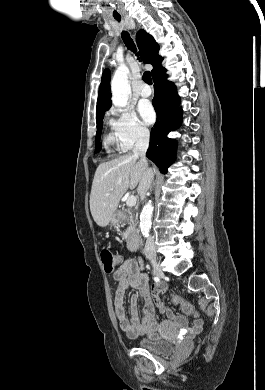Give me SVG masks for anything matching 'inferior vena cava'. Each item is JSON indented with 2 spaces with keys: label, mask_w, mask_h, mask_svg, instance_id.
Wrapping results in <instances>:
<instances>
[{
  "label": "inferior vena cava",
  "mask_w": 265,
  "mask_h": 390,
  "mask_svg": "<svg viewBox=\"0 0 265 390\" xmlns=\"http://www.w3.org/2000/svg\"><path fill=\"white\" fill-rule=\"evenodd\" d=\"M149 147V133L148 132H141L137 138V141L135 143L133 153L135 156H139L140 160L145 164L146 169L143 174V177L140 181L139 187H138V193L140 194L141 199L145 198V194L147 190L149 189L151 182L153 180L154 174L153 170L148 167V163L146 160V151ZM145 255L153 256L156 255V249H155V243L154 238L152 236H148L144 248Z\"/></svg>",
  "instance_id": "1"
}]
</instances>
